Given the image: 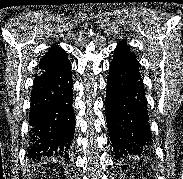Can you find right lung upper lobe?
I'll list each match as a JSON object with an SVG mask.
<instances>
[{
    "label": "right lung upper lobe",
    "mask_w": 183,
    "mask_h": 179,
    "mask_svg": "<svg viewBox=\"0 0 183 179\" xmlns=\"http://www.w3.org/2000/svg\"><path fill=\"white\" fill-rule=\"evenodd\" d=\"M66 52L54 45L41 58L38 70L59 69L70 65Z\"/></svg>",
    "instance_id": "obj_1"
}]
</instances>
